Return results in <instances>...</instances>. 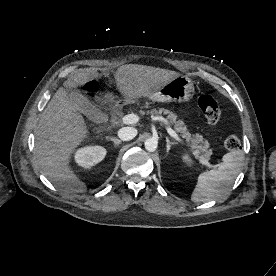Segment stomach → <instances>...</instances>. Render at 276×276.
I'll return each instance as SVG.
<instances>
[{
  "label": "stomach",
  "instance_id": "stomach-1",
  "mask_svg": "<svg viewBox=\"0 0 276 276\" xmlns=\"http://www.w3.org/2000/svg\"><path fill=\"white\" fill-rule=\"evenodd\" d=\"M195 93V88L191 79L187 76L179 75L169 82L155 88L147 97L157 102H188ZM140 98L130 100L137 102Z\"/></svg>",
  "mask_w": 276,
  "mask_h": 276
}]
</instances>
